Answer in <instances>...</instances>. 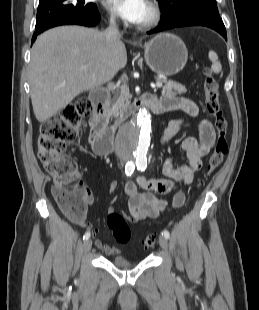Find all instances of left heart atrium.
I'll return each instance as SVG.
<instances>
[{"instance_id": "39dd6f15", "label": "left heart atrium", "mask_w": 259, "mask_h": 310, "mask_svg": "<svg viewBox=\"0 0 259 310\" xmlns=\"http://www.w3.org/2000/svg\"><path fill=\"white\" fill-rule=\"evenodd\" d=\"M112 12L130 23H138L145 0H106Z\"/></svg>"}]
</instances>
